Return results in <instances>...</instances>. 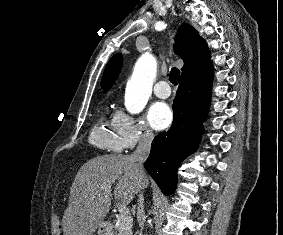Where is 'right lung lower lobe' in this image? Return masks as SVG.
<instances>
[{"instance_id":"1","label":"right lung lower lobe","mask_w":283,"mask_h":235,"mask_svg":"<svg viewBox=\"0 0 283 235\" xmlns=\"http://www.w3.org/2000/svg\"><path fill=\"white\" fill-rule=\"evenodd\" d=\"M212 78L213 71H210L189 80H180L173 103L172 126L152 142L145 169L166 195L172 194L176 188L180 163L196 150L200 141Z\"/></svg>"}]
</instances>
